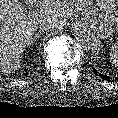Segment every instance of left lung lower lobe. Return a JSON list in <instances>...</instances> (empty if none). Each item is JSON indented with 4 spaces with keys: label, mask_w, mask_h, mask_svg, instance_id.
I'll return each mask as SVG.
<instances>
[{
    "label": "left lung lower lobe",
    "mask_w": 118,
    "mask_h": 118,
    "mask_svg": "<svg viewBox=\"0 0 118 118\" xmlns=\"http://www.w3.org/2000/svg\"><path fill=\"white\" fill-rule=\"evenodd\" d=\"M92 69H93V72H94V73L98 74V76L103 77V74H100L99 72H97V71L94 69V67H92ZM103 78H104V77H103ZM105 78H106L107 80L110 79L109 77H106V76H105Z\"/></svg>",
    "instance_id": "0a47b994"
}]
</instances>
